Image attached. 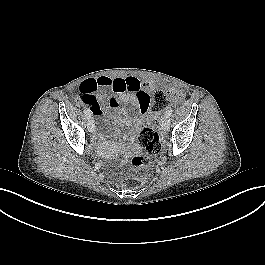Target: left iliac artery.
I'll return each mask as SVG.
<instances>
[{
  "label": "left iliac artery",
  "instance_id": "1",
  "mask_svg": "<svg viewBox=\"0 0 265 265\" xmlns=\"http://www.w3.org/2000/svg\"><path fill=\"white\" fill-rule=\"evenodd\" d=\"M172 112H173L172 108H168L167 111L165 112V116L170 117Z\"/></svg>",
  "mask_w": 265,
  "mask_h": 265
}]
</instances>
